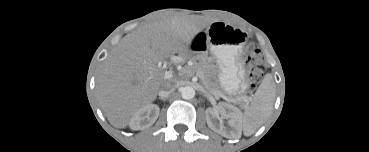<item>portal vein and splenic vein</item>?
Masks as SVG:
<instances>
[{
    "mask_svg": "<svg viewBox=\"0 0 369 152\" xmlns=\"http://www.w3.org/2000/svg\"><path fill=\"white\" fill-rule=\"evenodd\" d=\"M212 94H213L214 96L221 97V98H223V99H225V100L229 101V99H228L226 96L222 95V94H217V93H212Z\"/></svg>",
    "mask_w": 369,
    "mask_h": 152,
    "instance_id": "1",
    "label": "portal vein and splenic vein"
}]
</instances>
